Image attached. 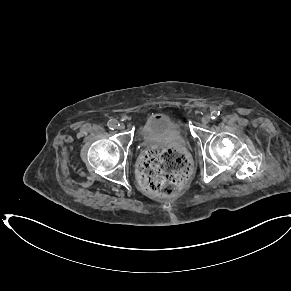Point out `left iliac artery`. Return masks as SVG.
<instances>
[{"label": "left iliac artery", "mask_w": 291, "mask_h": 291, "mask_svg": "<svg viewBox=\"0 0 291 291\" xmlns=\"http://www.w3.org/2000/svg\"><path fill=\"white\" fill-rule=\"evenodd\" d=\"M220 115V111L214 110L211 112V119H216Z\"/></svg>", "instance_id": "44dca946"}]
</instances>
